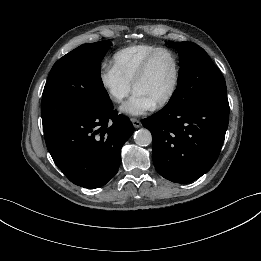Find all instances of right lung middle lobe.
I'll return each mask as SVG.
<instances>
[{
	"label": "right lung middle lobe",
	"instance_id": "right-lung-middle-lobe-1",
	"mask_svg": "<svg viewBox=\"0 0 261 261\" xmlns=\"http://www.w3.org/2000/svg\"><path fill=\"white\" fill-rule=\"evenodd\" d=\"M111 44H83L54 64L42 94L44 133L70 119L99 113L110 105L102 88L100 61Z\"/></svg>",
	"mask_w": 261,
	"mask_h": 261
}]
</instances>
